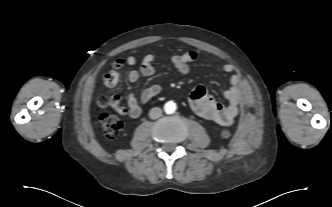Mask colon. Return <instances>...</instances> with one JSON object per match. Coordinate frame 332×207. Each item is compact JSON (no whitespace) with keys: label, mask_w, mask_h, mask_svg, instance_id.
Wrapping results in <instances>:
<instances>
[{"label":"colon","mask_w":332,"mask_h":207,"mask_svg":"<svg viewBox=\"0 0 332 207\" xmlns=\"http://www.w3.org/2000/svg\"><path fill=\"white\" fill-rule=\"evenodd\" d=\"M121 65L122 62L120 60H117L113 63V66L115 68H120ZM97 103L98 106L100 107L99 118L102 122L105 136L109 139L117 138L123 128V123L118 117L109 113L106 110V108L112 107L116 111L124 113V109L121 108L120 106V97L119 96L108 97L106 94L102 93L99 95ZM231 135L232 133L228 129H224L221 132V136L224 139H229Z\"/></svg>","instance_id":"5ec220e1"}]
</instances>
